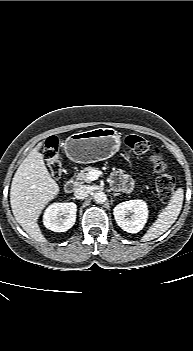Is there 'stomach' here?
Masks as SVG:
<instances>
[{
  "instance_id": "obj_1",
  "label": "stomach",
  "mask_w": 193,
  "mask_h": 351,
  "mask_svg": "<svg viewBox=\"0 0 193 351\" xmlns=\"http://www.w3.org/2000/svg\"><path fill=\"white\" fill-rule=\"evenodd\" d=\"M120 146V135L115 129L97 128L72 134L65 141L64 150L73 162L89 164L110 158Z\"/></svg>"
}]
</instances>
